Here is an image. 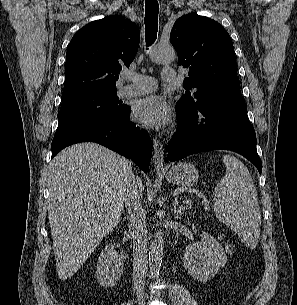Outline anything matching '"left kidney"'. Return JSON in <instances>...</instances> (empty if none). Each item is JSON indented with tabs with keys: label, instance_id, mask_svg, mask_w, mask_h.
I'll list each match as a JSON object with an SVG mask.
<instances>
[{
	"label": "left kidney",
	"instance_id": "left-kidney-1",
	"mask_svg": "<svg viewBox=\"0 0 297 305\" xmlns=\"http://www.w3.org/2000/svg\"><path fill=\"white\" fill-rule=\"evenodd\" d=\"M226 262L224 249L208 232H202L201 242L189 244L183 255L184 268L200 282L211 280Z\"/></svg>",
	"mask_w": 297,
	"mask_h": 305
}]
</instances>
